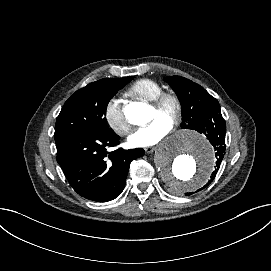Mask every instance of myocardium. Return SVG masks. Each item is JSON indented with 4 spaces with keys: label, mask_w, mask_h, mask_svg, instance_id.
<instances>
[{
    "label": "myocardium",
    "mask_w": 271,
    "mask_h": 271,
    "mask_svg": "<svg viewBox=\"0 0 271 271\" xmlns=\"http://www.w3.org/2000/svg\"><path fill=\"white\" fill-rule=\"evenodd\" d=\"M169 103L175 105V112L170 118V125L172 127L177 126L184 117L185 114V103L182 96L175 90L163 91L159 94L151 104V107L158 113L164 114L166 107Z\"/></svg>",
    "instance_id": "f54148a6"
}]
</instances>
